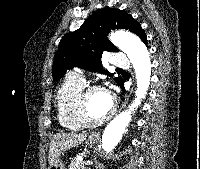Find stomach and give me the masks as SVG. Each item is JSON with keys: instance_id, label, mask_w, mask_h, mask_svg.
Returning a JSON list of instances; mask_svg holds the SVG:
<instances>
[{"instance_id": "1", "label": "stomach", "mask_w": 200, "mask_h": 169, "mask_svg": "<svg viewBox=\"0 0 200 169\" xmlns=\"http://www.w3.org/2000/svg\"><path fill=\"white\" fill-rule=\"evenodd\" d=\"M96 142L97 139L93 138L92 136H89L86 141V144H88L89 146H93ZM49 169H66V168L63 161L61 159H58L55 164L49 167Z\"/></svg>"}]
</instances>
